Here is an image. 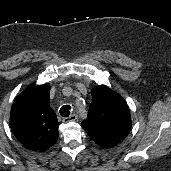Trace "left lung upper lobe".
<instances>
[{
  "mask_svg": "<svg viewBox=\"0 0 171 171\" xmlns=\"http://www.w3.org/2000/svg\"><path fill=\"white\" fill-rule=\"evenodd\" d=\"M92 97L88 119L81 126L102 147L119 144L131 129L130 110L126 101L104 85L93 88Z\"/></svg>",
  "mask_w": 171,
  "mask_h": 171,
  "instance_id": "left-lung-upper-lobe-1",
  "label": "left lung upper lobe"
}]
</instances>
